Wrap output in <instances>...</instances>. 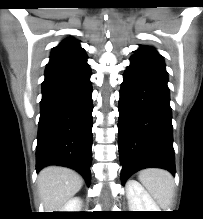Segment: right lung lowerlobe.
Returning <instances> with one entry per match:
<instances>
[{
  "instance_id": "right-lung-lower-lobe-1",
  "label": "right lung lower lobe",
  "mask_w": 203,
  "mask_h": 219,
  "mask_svg": "<svg viewBox=\"0 0 203 219\" xmlns=\"http://www.w3.org/2000/svg\"><path fill=\"white\" fill-rule=\"evenodd\" d=\"M87 58L49 64L40 102L36 170L60 165L79 172L90 185L92 85Z\"/></svg>"
}]
</instances>
